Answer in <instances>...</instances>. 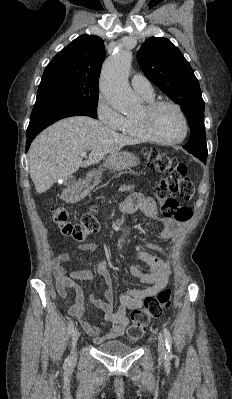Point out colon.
<instances>
[{
  "label": "colon",
  "mask_w": 232,
  "mask_h": 399,
  "mask_svg": "<svg viewBox=\"0 0 232 399\" xmlns=\"http://www.w3.org/2000/svg\"><path fill=\"white\" fill-rule=\"evenodd\" d=\"M144 156L150 162L151 168H156V172H166V182L163 185L155 186V194L158 203H164L162 214L164 218H177L178 222H187L192 217L190 207H182V203H178V198L182 202L190 200L191 196H195L197 186L189 180V175H185L184 163H179L175 157H168L156 151L153 147H148L144 151ZM166 196H178V198H164ZM90 213H95V208H90ZM55 225L60 229L61 234L65 238L86 241V237L99 232V222L93 218V215H82L79 222L71 220L67 211L64 209H56L52 213ZM162 294H169V289H162ZM169 296H145V301H169ZM168 303H144V308H140L131 314L132 323L130 325L129 334L130 341L135 338H143L144 325H149V320H157V316H161L163 308H168ZM148 308V309H146Z\"/></svg>",
  "instance_id": "colon-1"
}]
</instances>
